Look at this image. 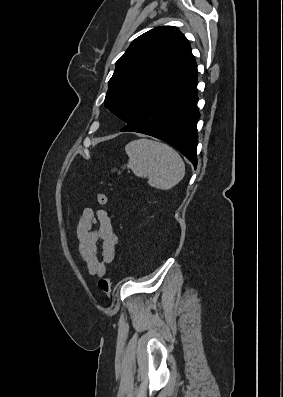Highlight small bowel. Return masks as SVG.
Segmentation results:
<instances>
[{
  "instance_id": "c3829d8e",
  "label": "small bowel",
  "mask_w": 283,
  "mask_h": 397,
  "mask_svg": "<svg viewBox=\"0 0 283 397\" xmlns=\"http://www.w3.org/2000/svg\"><path fill=\"white\" fill-rule=\"evenodd\" d=\"M76 234L79 253L90 275L102 277L115 258L118 236L112 217L105 211L90 207L79 212ZM100 244L101 254L98 256Z\"/></svg>"
}]
</instances>
